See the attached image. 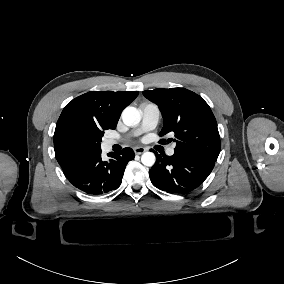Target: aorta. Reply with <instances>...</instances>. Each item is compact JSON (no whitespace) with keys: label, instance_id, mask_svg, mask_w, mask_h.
Listing matches in <instances>:
<instances>
[{"label":"aorta","instance_id":"1","mask_svg":"<svg viewBox=\"0 0 284 284\" xmlns=\"http://www.w3.org/2000/svg\"><path fill=\"white\" fill-rule=\"evenodd\" d=\"M123 123L127 126H136L141 121V115L134 107H127L122 112ZM156 157L152 152H145L141 156L143 165L151 167L155 164Z\"/></svg>","mask_w":284,"mask_h":284}]
</instances>
